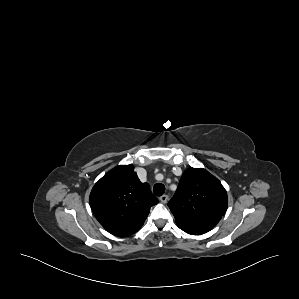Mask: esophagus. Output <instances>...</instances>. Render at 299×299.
Masks as SVG:
<instances>
[{
  "mask_svg": "<svg viewBox=\"0 0 299 299\" xmlns=\"http://www.w3.org/2000/svg\"><path fill=\"white\" fill-rule=\"evenodd\" d=\"M159 200L162 202V203H167V201L169 200V196L168 195H162Z\"/></svg>",
  "mask_w": 299,
  "mask_h": 299,
  "instance_id": "obj_1",
  "label": "esophagus"
}]
</instances>
